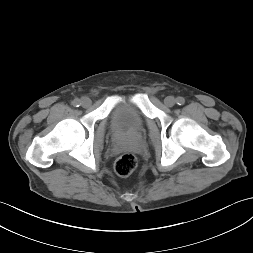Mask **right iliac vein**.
Segmentation results:
<instances>
[{
	"label": "right iliac vein",
	"instance_id": "63e3f726",
	"mask_svg": "<svg viewBox=\"0 0 253 253\" xmlns=\"http://www.w3.org/2000/svg\"><path fill=\"white\" fill-rule=\"evenodd\" d=\"M81 105L83 106V107H89L90 105H91V100H90V98H88V97H83L82 99H81Z\"/></svg>",
	"mask_w": 253,
	"mask_h": 253
}]
</instances>
